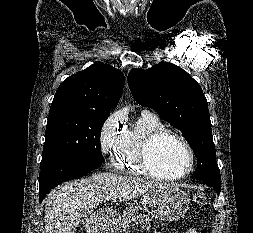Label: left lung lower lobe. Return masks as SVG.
Returning <instances> with one entry per match:
<instances>
[{
	"label": "left lung lower lobe",
	"instance_id": "1",
	"mask_svg": "<svg viewBox=\"0 0 253 233\" xmlns=\"http://www.w3.org/2000/svg\"><path fill=\"white\" fill-rule=\"evenodd\" d=\"M203 183L212 186L216 192L219 194V192L221 191V183L219 182H212V181H208V180H201Z\"/></svg>",
	"mask_w": 253,
	"mask_h": 233
}]
</instances>
